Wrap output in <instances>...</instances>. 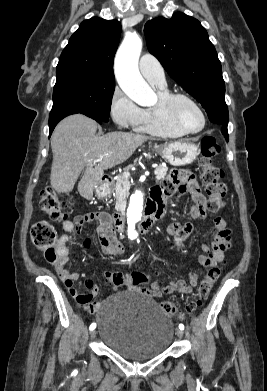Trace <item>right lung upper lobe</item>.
<instances>
[{"instance_id":"obj_1","label":"right lung upper lobe","mask_w":267,"mask_h":391,"mask_svg":"<svg viewBox=\"0 0 267 391\" xmlns=\"http://www.w3.org/2000/svg\"><path fill=\"white\" fill-rule=\"evenodd\" d=\"M120 34L117 20L93 17L83 21L59 58L56 76L90 73L114 77L113 61Z\"/></svg>"}]
</instances>
